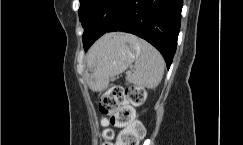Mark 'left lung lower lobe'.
<instances>
[{
    "label": "left lung lower lobe",
    "mask_w": 243,
    "mask_h": 145,
    "mask_svg": "<svg viewBox=\"0 0 243 145\" xmlns=\"http://www.w3.org/2000/svg\"><path fill=\"white\" fill-rule=\"evenodd\" d=\"M183 0H125L117 16L104 24L89 21L83 37L84 49L106 32L135 34L157 48L170 67L180 31Z\"/></svg>",
    "instance_id": "left-lung-lower-lobe-1"
}]
</instances>
